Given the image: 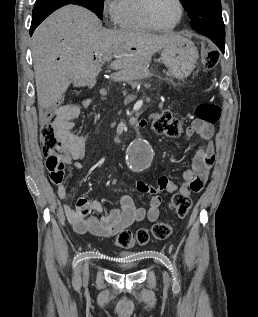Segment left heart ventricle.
Masks as SVG:
<instances>
[{
    "label": "left heart ventricle",
    "instance_id": "obj_1",
    "mask_svg": "<svg viewBox=\"0 0 258 317\" xmlns=\"http://www.w3.org/2000/svg\"><path fill=\"white\" fill-rule=\"evenodd\" d=\"M149 15L156 26L170 27L178 18V5L175 0H155L151 5Z\"/></svg>",
    "mask_w": 258,
    "mask_h": 317
}]
</instances>
